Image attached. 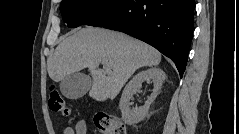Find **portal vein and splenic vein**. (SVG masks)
I'll return each instance as SVG.
<instances>
[{"label": "portal vein and splenic vein", "mask_w": 239, "mask_h": 134, "mask_svg": "<svg viewBox=\"0 0 239 134\" xmlns=\"http://www.w3.org/2000/svg\"><path fill=\"white\" fill-rule=\"evenodd\" d=\"M103 68L106 72H110V69L108 68V66H106L105 64H103Z\"/></svg>", "instance_id": "portal-vein-and-splenic-vein-1"}]
</instances>
